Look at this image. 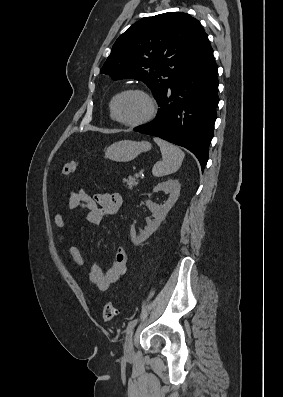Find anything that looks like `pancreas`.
Listing matches in <instances>:
<instances>
[{"mask_svg": "<svg viewBox=\"0 0 283 397\" xmlns=\"http://www.w3.org/2000/svg\"><path fill=\"white\" fill-rule=\"evenodd\" d=\"M123 182L125 183V187L129 190H132L138 184V180L134 177H128L127 179H124Z\"/></svg>", "mask_w": 283, "mask_h": 397, "instance_id": "cf45deb5", "label": "pancreas"}]
</instances>
